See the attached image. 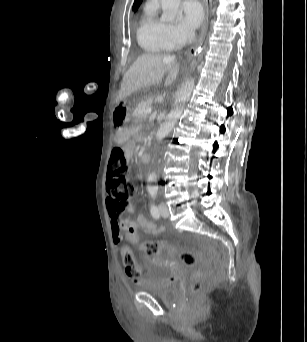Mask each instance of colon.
Masks as SVG:
<instances>
[{
  "label": "colon",
  "mask_w": 307,
  "mask_h": 342,
  "mask_svg": "<svg viewBox=\"0 0 307 342\" xmlns=\"http://www.w3.org/2000/svg\"><path fill=\"white\" fill-rule=\"evenodd\" d=\"M128 165L123 150L120 147L112 149L109 161L107 191L111 198V207L109 208L112 215L120 219L130 207V199L135 192V185L127 179L126 173ZM127 236L131 242L137 241L136 231L134 226L126 227ZM163 247L162 243L147 242L140 244L138 249L144 251L147 255H157ZM174 257H177L180 252L179 246H171L168 249ZM121 253L124 254L123 261L125 264V273L130 281L134 284L140 283V270L135 265V258L131 254L132 248L128 243H125L121 248ZM180 260L184 263V268H191V281H187V288H193L192 294L189 295L190 306L196 307V295L199 294V288H202V283H206L205 268L199 266V261H196L194 255L190 252H181Z\"/></svg>",
  "instance_id": "obj_1"
}]
</instances>
